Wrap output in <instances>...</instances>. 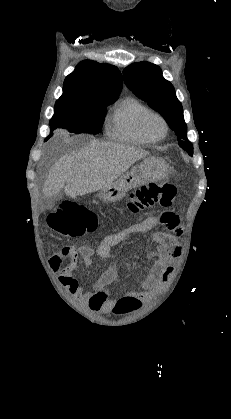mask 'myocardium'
<instances>
[{"label": "myocardium", "instance_id": "obj_1", "mask_svg": "<svg viewBox=\"0 0 231 419\" xmlns=\"http://www.w3.org/2000/svg\"><path fill=\"white\" fill-rule=\"evenodd\" d=\"M153 117L158 118L163 124L164 131H163L161 136L155 137L148 130V122ZM141 130H142V133L144 134V136L148 140H150L151 142H156V141L162 140L167 135L168 130H169V126H168L167 120L165 119V117L162 114H160L158 112H155V111H150L142 118Z\"/></svg>", "mask_w": 231, "mask_h": 419}]
</instances>
